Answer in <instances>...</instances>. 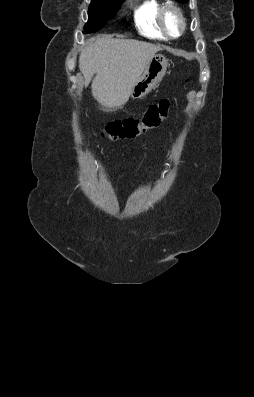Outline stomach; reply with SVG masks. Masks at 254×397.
<instances>
[{"mask_svg": "<svg viewBox=\"0 0 254 397\" xmlns=\"http://www.w3.org/2000/svg\"><path fill=\"white\" fill-rule=\"evenodd\" d=\"M167 66L168 61L163 55H154L133 86L130 97L132 99H141L147 95L164 77Z\"/></svg>", "mask_w": 254, "mask_h": 397, "instance_id": "1", "label": "stomach"}]
</instances>
